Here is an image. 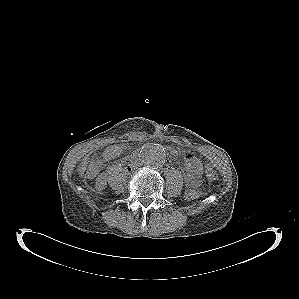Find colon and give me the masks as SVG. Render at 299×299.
Segmentation results:
<instances>
[{
  "label": "colon",
  "mask_w": 299,
  "mask_h": 299,
  "mask_svg": "<svg viewBox=\"0 0 299 299\" xmlns=\"http://www.w3.org/2000/svg\"><path fill=\"white\" fill-rule=\"evenodd\" d=\"M184 166L186 169H188L190 172L197 176H201L203 173V163L200 160L199 157H197L193 153H185L182 156ZM95 169L93 167H89L87 174L89 176L94 175ZM201 196V191L199 190H191L187 193V198L189 200H195L198 199Z\"/></svg>",
  "instance_id": "colon-1"
}]
</instances>
